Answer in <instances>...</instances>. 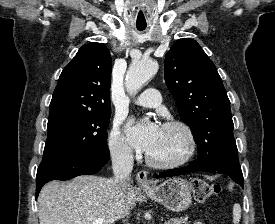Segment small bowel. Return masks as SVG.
Returning <instances> with one entry per match:
<instances>
[{"label": "small bowel", "mask_w": 275, "mask_h": 224, "mask_svg": "<svg viewBox=\"0 0 275 224\" xmlns=\"http://www.w3.org/2000/svg\"><path fill=\"white\" fill-rule=\"evenodd\" d=\"M194 224H202L201 222H196V223H194Z\"/></svg>", "instance_id": "c3829d8e"}]
</instances>
